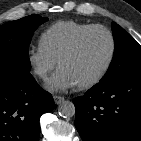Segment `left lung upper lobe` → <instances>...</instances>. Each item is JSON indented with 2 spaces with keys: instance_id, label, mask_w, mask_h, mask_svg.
Segmentation results:
<instances>
[{
  "instance_id": "left-lung-upper-lobe-1",
  "label": "left lung upper lobe",
  "mask_w": 141,
  "mask_h": 141,
  "mask_svg": "<svg viewBox=\"0 0 141 141\" xmlns=\"http://www.w3.org/2000/svg\"><path fill=\"white\" fill-rule=\"evenodd\" d=\"M112 32L115 41L114 56L106 75L100 82L127 73L141 72V46L115 22L112 23Z\"/></svg>"
}]
</instances>
